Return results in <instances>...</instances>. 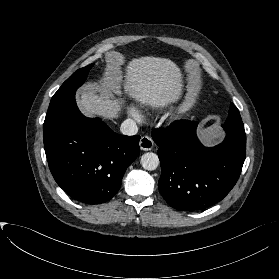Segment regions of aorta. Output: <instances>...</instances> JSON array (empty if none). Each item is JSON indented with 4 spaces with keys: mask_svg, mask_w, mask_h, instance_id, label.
Instances as JSON below:
<instances>
[{
    "mask_svg": "<svg viewBox=\"0 0 279 279\" xmlns=\"http://www.w3.org/2000/svg\"><path fill=\"white\" fill-rule=\"evenodd\" d=\"M140 163L145 170H155L159 165V158L153 152H147L142 155Z\"/></svg>",
    "mask_w": 279,
    "mask_h": 279,
    "instance_id": "obj_1",
    "label": "aorta"
}]
</instances>
